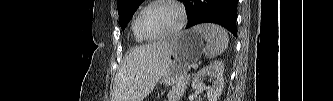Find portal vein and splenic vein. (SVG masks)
I'll return each instance as SVG.
<instances>
[{"label":"portal vein and splenic vein","instance_id":"1","mask_svg":"<svg viewBox=\"0 0 333 101\" xmlns=\"http://www.w3.org/2000/svg\"><path fill=\"white\" fill-rule=\"evenodd\" d=\"M198 67V65H193V68H197Z\"/></svg>","mask_w":333,"mask_h":101}]
</instances>
